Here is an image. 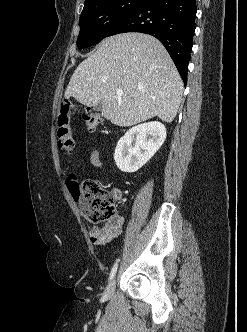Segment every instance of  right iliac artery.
<instances>
[{
	"label": "right iliac artery",
	"mask_w": 247,
	"mask_h": 332,
	"mask_svg": "<svg viewBox=\"0 0 247 332\" xmlns=\"http://www.w3.org/2000/svg\"><path fill=\"white\" fill-rule=\"evenodd\" d=\"M117 268H118V261L115 262V264L113 265L112 267V270H111V273H110V276H109V280H112L116 274V271H117Z\"/></svg>",
	"instance_id": "right-iliac-artery-1"
}]
</instances>
